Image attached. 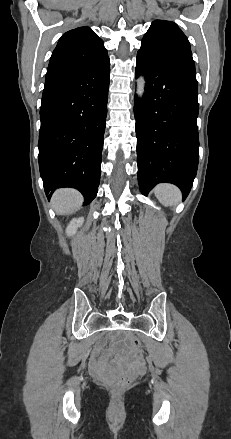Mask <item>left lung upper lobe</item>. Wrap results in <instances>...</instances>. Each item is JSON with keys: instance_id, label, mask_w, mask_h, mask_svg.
I'll use <instances>...</instances> for the list:
<instances>
[{"instance_id": "obj_1", "label": "left lung upper lobe", "mask_w": 231, "mask_h": 439, "mask_svg": "<svg viewBox=\"0 0 231 439\" xmlns=\"http://www.w3.org/2000/svg\"><path fill=\"white\" fill-rule=\"evenodd\" d=\"M138 52L159 62L195 68L187 37L171 21L155 20L144 35Z\"/></svg>"}]
</instances>
